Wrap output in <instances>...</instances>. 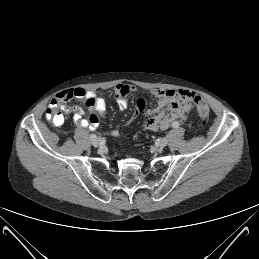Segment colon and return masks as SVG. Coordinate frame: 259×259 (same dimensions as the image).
Returning a JSON list of instances; mask_svg holds the SVG:
<instances>
[{"label": "colon", "mask_w": 259, "mask_h": 259, "mask_svg": "<svg viewBox=\"0 0 259 259\" xmlns=\"http://www.w3.org/2000/svg\"><path fill=\"white\" fill-rule=\"evenodd\" d=\"M194 103L197 107L198 115L201 120V122L204 124L206 123L208 117H209V106L206 103L204 99H202L199 96H196L194 98ZM145 101L139 100L137 103V111H142L145 108ZM59 104L54 103L49 105L47 111H46V117L49 121H51L55 125H59L63 122V116L59 111Z\"/></svg>", "instance_id": "5ec220e1"}]
</instances>
